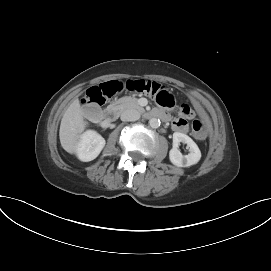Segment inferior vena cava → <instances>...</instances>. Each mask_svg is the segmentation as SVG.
Wrapping results in <instances>:
<instances>
[{
  "instance_id": "1",
  "label": "inferior vena cava",
  "mask_w": 271,
  "mask_h": 271,
  "mask_svg": "<svg viewBox=\"0 0 271 271\" xmlns=\"http://www.w3.org/2000/svg\"><path fill=\"white\" fill-rule=\"evenodd\" d=\"M140 118V113L135 109H128L122 112V121H136Z\"/></svg>"
}]
</instances>
